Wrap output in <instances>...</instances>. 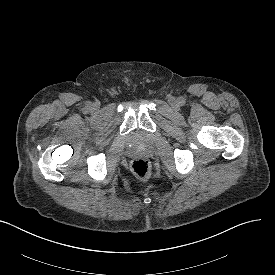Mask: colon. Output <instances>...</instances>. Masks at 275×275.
<instances>
[{
    "label": "colon",
    "mask_w": 275,
    "mask_h": 275,
    "mask_svg": "<svg viewBox=\"0 0 275 275\" xmlns=\"http://www.w3.org/2000/svg\"><path fill=\"white\" fill-rule=\"evenodd\" d=\"M132 172L142 180H147L151 175V166L146 159L137 158L131 164Z\"/></svg>",
    "instance_id": "obj_1"
}]
</instances>
